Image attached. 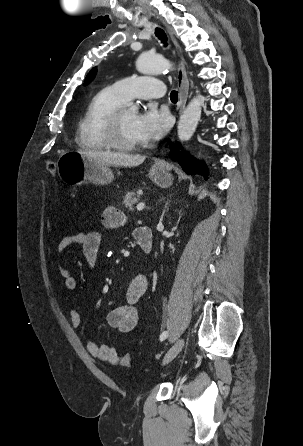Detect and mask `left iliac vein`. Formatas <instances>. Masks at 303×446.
I'll list each match as a JSON object with an SVG mask.
<instances>
[{
  "label": "left iliac vein",
  "instance_id": "left-iliac-vein-1",
  "mask_svg": "<svg viewBox=\"0 0 303 446\" xmlns=\"http://www.w3.org/2000/svg\"><path fill=\"white\" fill-rule=\"evenodd\" d=\"M184 343L185 341L183 338L179 339L165 354L162 364L165 365L172 361L182 351Z\"/></svg>",
  "mask_w": 303,
  "mask_h": 446
}]
</instances>
